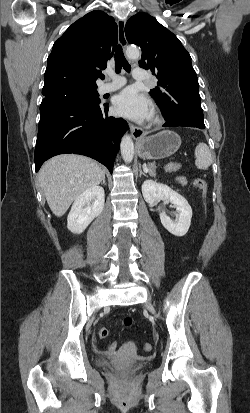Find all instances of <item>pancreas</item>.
I'll list each match as a JSON object with an SVG mask.
<instances>
[{
  "label": "pancreas",
  "mask_w": 250,
  "mask_h": 413,
  "mask_svg": "<svg viewBox=\"0 0 250 413\" xmlns=\"http://www.w3.org/2000/svg\"><path fill=\"white\" fill-rule=\"evenodd\" d=\"M165 170L168 171V172H170V171H174L175 168H174V167H171V166H166ZM155 172H156V165H155V163L148 164V173H149V175L152 176V177H155V175H156Z\"/></svg>",
  "instance_id": "cf45deb5"
}]
</instances>
